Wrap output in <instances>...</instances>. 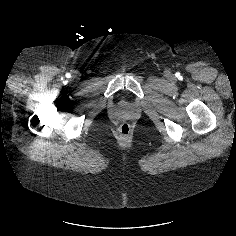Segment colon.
<instances>
[{
	"instance_id": "obj_1",
	"label": "colon",
	"mask_w": 236,
	"mask_h": 236,
	"mask_svg": "<svg viewBox=\"0 0 236 236\" xmlns=\"http://www.w3.org/2000/svg\"><path fill=\"white\" fill-rule=\"evenodd\" d=\"M118 131L123 138H127L132 131V126L128 122L120 123Z\"/></svg>"
}]
</instances>
